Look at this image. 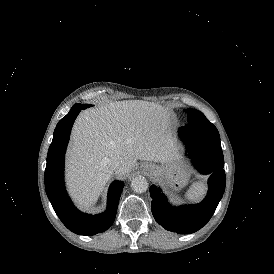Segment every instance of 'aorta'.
<instances>
[{
  "label": "aorta",
  "mask_w": 274,
  "mask_h": 274,
  "mask_svg": "<svg viewBox=\"0 0 274 274\" xmlns=\"http://www.w3.org/2000/svg\"><path fill=\"white\" fill-rule=\"evenodd\" d=\"M131 188L136 193H143L148 189V181L143 176H136L131 181Z\"/></svg>",
  "instance_id": "aorta-1"
}]
</instances>
